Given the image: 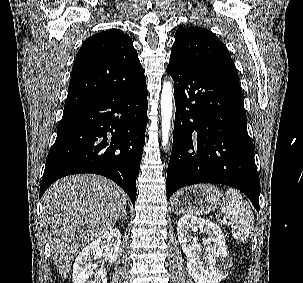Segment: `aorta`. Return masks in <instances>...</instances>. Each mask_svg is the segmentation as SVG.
<instances>
[{
  "mask_svg": "<svg viewBox=\"0 0 303 283\" xmlns=\"http://www.w3.org/2000/svg\"><path fill=\"white\" fill-rule=\"evenodd\" d=\"M172 115L173 87L169 81H165L161 92V131L163 148H166L169 142Z\"/></svg>",
  "mask_w": 303,
  "mask_h": 283,
  "instance_id": "obj_1",
  "label": "aorta"
}]
</instances>
